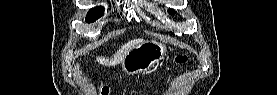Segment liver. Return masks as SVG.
<instances>
[{"label":"liver","instance_id":"liver-1","mask_svg":"<svg viewBox=\"0 0 277 95\" xmlns=\"http://www.w3.org/2000/svg\"><path fill=\"white\" fill-rule=\"evenodd\" d=\"M143 39H134L126 44L122 45L121 48L114 54L112 58H105V57H97L96 60L98 63L105 65V66H113L116 64H119L122 62L124 57L128 54L129 51H131L133 48H135L140 42H142Z\"/></svg>","mask_w":277,"mask_h":95}]
</instances>
